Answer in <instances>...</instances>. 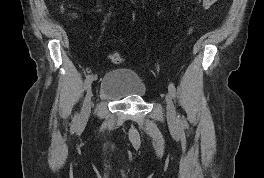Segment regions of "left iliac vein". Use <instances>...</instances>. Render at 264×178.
I'll use <instances>...</instances> for the list:
<instances>
[{"instance_id": "4c4485c4", "label": "left iliac vein", "mask_w": 264, "mask_h": 178, "mask_svg": "<svg viewBox=\"0 0 264 178\" xmlns=\"http://www.w3.org/2000/svg\"><path fill=\"white\" fill-rule=\"evenodd\" d=\"M165 100H166V105H167L168 121L169 123L174 125L176 123V111H175L173 100L169 94L166 95Z\"/></svg>"}]
</instances>
